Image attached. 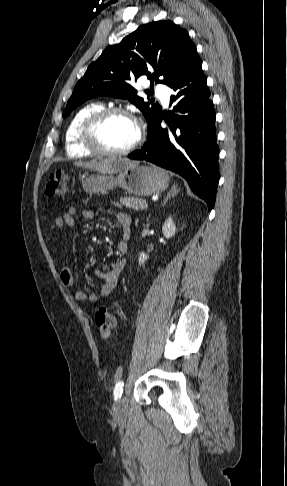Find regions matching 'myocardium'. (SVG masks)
Here are the masks:
<instances>
[{
    "label": "myocardium",
    "mask_w": 287,
    "mask_h": 486,
    "mask_svg": "<svg viewBox=\"0 0 287 486\" xmlns=\"http://www.w3.org/2000/svg\"><path fill=\"white\" fill-rule=\"evenodd\" d=\"M120 115L129 119L136 128L135 139L125 148L120 150H107L101 147L96 140V131L98 127L112 116ZM143 138V131L137 118L127 109L122 107H106L91 114L83 122L80 130V140L82 145L93 155L101 157H121L128 155L136 149Z\"/></svg>",
    "instance_id": "f54148a6"
}]
</instances>
